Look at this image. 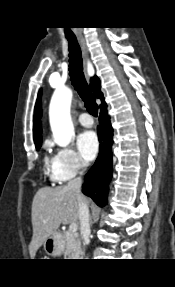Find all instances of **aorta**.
<instances>
[{"label":"aorta","instance_id":"obj_1","mask_svg":"<svg viewBox=\"0 0 175 287\" xmlns=\"http://www.w3.org/2000/svg\"><path fill=\"white\" fill-rule=\"evenodd\" d=\"M72 96L71 89L58 88L54 92L49 106L53 138L55 143L61 147L68 146L75 134L70 115Z\"/></svg>","mask_w":175,"mask_h":287}]
</instances>
